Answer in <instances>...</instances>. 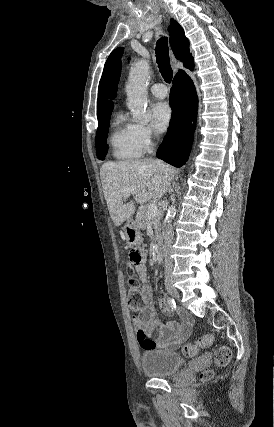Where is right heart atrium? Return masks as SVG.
I'll return each instance as SVG.
<instances>
[{
  "label": "right heart atrium",
  "instance_id": "1",
  "mask_svg": "<svg viewBox=\"0 0 274 427\" xmlns=\"http://www.w3.org/2000/svg\"><path fill=\"white\" fill-rule=\"evenodd\" d=\"M136 141L142 151L148 152L154 146V135L151 129L144 125H134Z\"/></svg>",
  "mask_w": 274,
  "mask_h": 427
}]
</instances>
